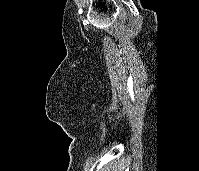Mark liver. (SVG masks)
Returning a JSON list of instances; mask_svg holds the SVG:
<instances>
[{"label": "liver", "mask_w": 199, "mask_h": 171, "mask_svg": "<svg viewBox=\"0 0 199 171\" xmlns=\"http://www.w3.org/2000/svg\"><path fill=\"white\" fill-rule=\"evenodd\" d=\"M106 171H117L116 170V164H114L113 162H110L107 166H106Z\"/></svg>", "instance_id": "liver-1"}]
</instances>
